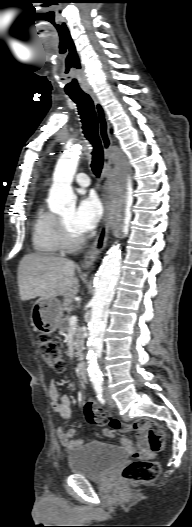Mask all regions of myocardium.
<instances>
[{
	"label": "myocardium",
	"mask_w": 192,
	"mask_h": 527,
	"mask_svg": "<svg viewBox=\"0 0 192 527\" xmlns=\"http://www.w3.org/2000/svg\"><path fill=\"white\" fill-rule=\"evenodd\" d=\"M58 230L60 241L64 249L75 250L81 247L84 243V237L81 235L78 237H73L70 234L68 228L60 217H58Z\"/></svg>",
	"instance_id": "f54148a6"
}]
</instances>
